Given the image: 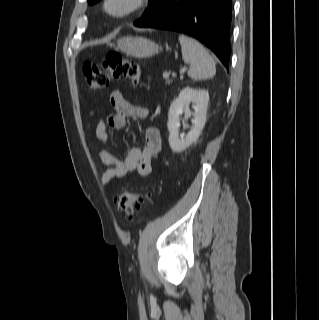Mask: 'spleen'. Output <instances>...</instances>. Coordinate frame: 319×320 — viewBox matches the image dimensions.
I'll return each mask as SVG.
<instances>
[{
  "mask_svg": "<svg viewBox=\"0 0 319 320\" xmlns=\"http://www.w3.org/2000/svg\"><path fill=\"white\" fill-rule=\"evenodd\" d=\"M179 42L182 48V58L190 65L189 77L201 80L215 75V62L198 41L185 35H179Z\"/></svg>",
  "mask_w": 319,
  "mask_h": 320,
  "instance_id": "1",
  "label": "spleen"
}]
</instances>
